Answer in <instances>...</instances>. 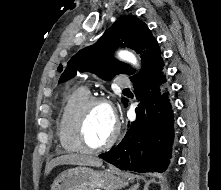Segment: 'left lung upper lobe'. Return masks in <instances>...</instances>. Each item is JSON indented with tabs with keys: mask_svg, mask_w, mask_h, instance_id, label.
<instances>
[{
	"mask_svg": "<svg viewBox=\"0 0 221 190\" xmlns=\"http://www.w3.org/2000/svg\"><path fill=\"white\" fill-rule=\"evenodd\" d=\"M118 47L132 48L141 55L142 70L131 76V81L143 76L161 58L158 42L148 26L137 17L126 15L119 18L96 44L74 55L59 82L72 78L77 71H90L107 81L118 74H133L127 64L113 58V51ZM123 102L126 103V99Z\"/></svg>",
	"mask_w": 221,
	"mask_h": 190,
	"instance_id": "5c2ea615",
	"label": "left lung upper lobe"
}]
</instances>
